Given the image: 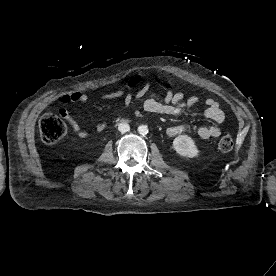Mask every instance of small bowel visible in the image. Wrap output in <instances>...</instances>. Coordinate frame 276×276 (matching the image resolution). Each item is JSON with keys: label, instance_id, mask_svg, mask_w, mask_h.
I'll use <instances>...</instances> for the list:
<instances>
[{"label": "small bowel", "instance_id": "obj_1", "mask_svg": "<svg viewBox=\"0 0 276 276\" xmlns=\"http://www.w3.org/2000/svg\"><path fill=\"white\" fill-rule=\"evenodd\" d=\"M150 88V84L147 82L136 94L127 92L125 89H119L103 95L104 99H114L123 96V104L125 107L131 106L135 101L145 98L143 102V108L145 111L153 114H166V115H180L186 112L187 109L194 106L199 97L192 96L187 101H184V94L182 92L174 93L171 89H168L163 99H159L154 95H147ZM88 96L80 91H74L68 94H63L60 97V102L63 105L71 103H86ZM61 115L67 121L74 133L79 137L84 138L87 136V132L84 131L77 120L65 109L60 110ZM202 114L207 119L213 121V126H191V125H175L167 129L166 134L168 137H174L181 133L193 132L202 139L217 138L221 135L220 125L225 122V114L219 107L217 101L212 98H208L205 101V107ZM103 129V125L97 126V130Z\"/></svg>", "mask_w": 276, "mask_h": 276}]
</instances>
